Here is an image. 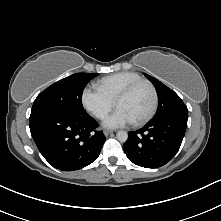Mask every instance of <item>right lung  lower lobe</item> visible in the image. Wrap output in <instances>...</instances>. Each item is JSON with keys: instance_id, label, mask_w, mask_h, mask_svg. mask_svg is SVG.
Masks as SVG:
<instances>
[{"instance_id": "right-lung-lower-lobe-1", "label": "right lung lower lobe", "mask_w": 221, "mask_h": 221, "mask_svg": "<svg viewBox=\"0 0 221 221\" xmlns=\"http://www.w3.org/2000/svg\"><path fill=\"white\" fill-rule=\"evenodd\" d=\"M98 123L87 113L46 112L30 117L37 148L53 167L81 169L97 159L106 140Z\"/></svg>"}]
</instances>
